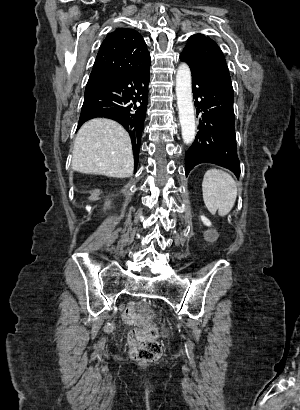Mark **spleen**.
<instances>
[{"label":"spleen","mask_w":300,"mask_h":410,"mask_svg":"<svg viewBox=\"0 0 300 410\" xmlns=\"http://www.w3.org/2000/svg\"><path fill=\"white\" fill-rule=\"evenodd\" d=\"M202 193L209 212L215 214L218 210L220 216H225L235 204L237 184L230 174L210 169L204 175Z\"/></svg>","instance_id":"spleen-1"}]
</instances>
